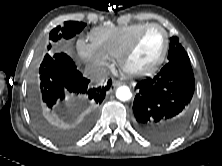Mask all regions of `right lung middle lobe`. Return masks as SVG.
Here are the masks:
<instances>
[{"mask_svg":"<svg viewBox=\"0 0 222 166\" xmlns=\"http://www.w3.org/2000/svg\"><path fill=\"white\" fill-rule=\"evenodd\" d=\"M85 26V23L76 21H67L63 26H57L49 34L50 44L48 45V50L51 48V44H56L61 38H72L81 32ZM31 112L33 120L40 132L57 141L66 140V134L58 129L50 115L43 108H34L33 105H31Z\"/></svg>","mask_w":222,"mask_h":166,"instance_id":"1","label":"right lung middle lobe"}]
</instances>
